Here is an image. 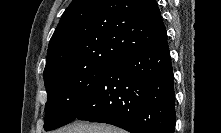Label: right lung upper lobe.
I'll use <instances>...</instances> for the list:
<instances>
[{
	"instance_id": "cb5924a9",
	"label": "right lung upper lobe",
	"mask_w": 221,
	"mask_h": 133,
	"mask_svg": "<svg viewBox=\"0 0 221 133\" xmlns=\"http://www.w3.org/2000/svg\"><path fill=\"white\" fill-rule=\"evenodd\" d=\"M166 40L155 0H73L49 42L44 76L68 66L111 64Z\"/></svg>"
}]
</instances>
